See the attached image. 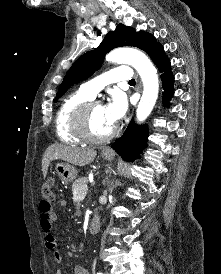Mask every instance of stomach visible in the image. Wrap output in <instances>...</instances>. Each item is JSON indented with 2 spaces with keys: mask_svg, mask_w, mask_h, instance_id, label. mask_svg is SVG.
Masks as SVG:
<instances>
[{
  "mask_svg": "<svg viewBox=\"0 0 221 274\" xmlns=\"http://www.w3.org/2000/svg\"><path fill=\"white\" fill-rule=\"evenodd\" d=\"M102 157L107 161L113 160V154H107L103 152ZM55 170L64 183L72 182L76 179L78 174V171L74 166L64 162L56 163Z\"/></svg>",
  "mask_w": 221,
  "mask_h": 274,
  "instance_id": "stomach-1",
  "label": "stomach"
}]
</instances>
